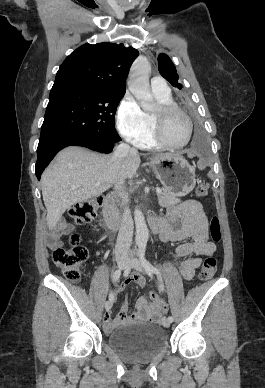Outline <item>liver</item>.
I'll list each match as a JSON object with an SVG mask.
<instances>
[{"label":"liver","mask_w":265,"mask_h":388,"mask_svg":"<svg viewBox=\"0 0 265 388\" xmlns=\"http://www.w3.org/2000/svg\"><path fill=\"white\" fill-rule=\"evenodd\" d=\"M140 156L144 154L130 150L123 164H116L112 154L102 156L79 146H69L59 152L55 162L48 166L41 176L48 230H54L65 210L77 202L101 196L120 178L131 180L139 168ZM97 182H101V186H94Z\"/></svg>","instance_id":"1"}]
</instances>
